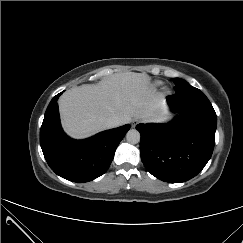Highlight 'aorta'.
<instances>
[{"label": "aorta", "mask_w": 243, "mask_h": 243, "mask_svg": "<svg viewBox=\"0 0 243 243\" xmlns=\"http://www.w3.org/2000/svg\"><path fill=\"white\" fill-rule=\"evenodd\" d=\"M127 142L137 144L140 141V133L136 129H130L126 134Z\"/></svg>", "instance_id": "aorta-1"}]
</instances>
